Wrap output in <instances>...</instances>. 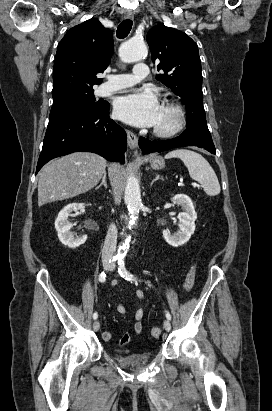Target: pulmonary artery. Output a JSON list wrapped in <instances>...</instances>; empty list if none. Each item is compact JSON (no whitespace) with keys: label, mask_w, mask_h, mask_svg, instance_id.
<instances>
[{"label":"pulmonary artery","mask_w":272,"mask_h":411,"mask_svg":"<svg viewBox=\"0 0 272 411\" xmlns=\"http://www.w3.org/2000/svg\"><path fill=\"white\" fill-rule=\"evenodd\" d=\"M148 75V68L145 63H137L132 73L116 74L108 76V82L101 85L98 92L100 95H108L136 85Z\"/></svg>","instance_id":"obj_1"}]
</instances>
